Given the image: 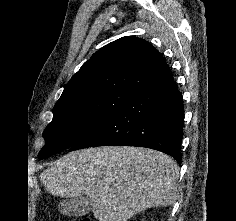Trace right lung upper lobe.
Returning <instances> with one entry per match:
<instances>
[{
	"label": "right lung upper lobe",
	"instance_id": "1",
	"mask_svg": "<svg viewBox=\"0 0 236 221\" xmlns=\"http://www.w3.org/2000/svg\"><path fill=\"white\" fill-rule=\"evenodd\" d=\"M169 71L163 56L151 44L125 36L94 53L70 79L55 105L102 90L137 92Z\"/></svg>",
	"mask_w": 236,
	"mask_h": 221
}]
</instances>
